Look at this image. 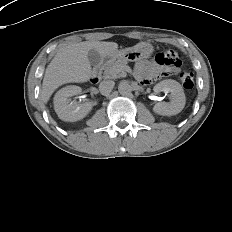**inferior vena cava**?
Returning a JSON list of instances; mask_svg holds the SVG:
<instances>
[{
	"label": "inferior vena cava",
	"instance_id": "602c4592",
	"mask_svg": "<svg viewBox=\"0 0 232 232\" xmlns=\"http://www.w3.org/2000/svg\"><path fill=\"white\" fill-rule=\"evenodd\" d=\"M114 85H115V83L112 80L102 81L99 84V91L103 95H108L112 91V89L114 88Z\"/></svg>",
	"mask_w": 232,
	"mask_h": 232
}]
</instances>
